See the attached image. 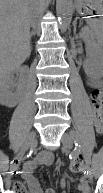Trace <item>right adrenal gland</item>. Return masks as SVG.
I'll list each match as a JSON object with an SVG mask.
<instances>
[{"mask_svg": "<svg viewBox=\"0 0 103 193\" xmlns=\"http://www.w3.org/2000/svg\"><path fill=\"white\" fill-rule=\"evenodd\" d=\"M33 35H35V32H34V31H32V32L30 33V40H31V38L33 37ZM30 48H32V47H30Z\"/></svg>", "mask_w": 103, "mask_h": 193, "instance_id": "right-adrenal-gland-1", "label": "right adrenal gland"}]
</instances>
